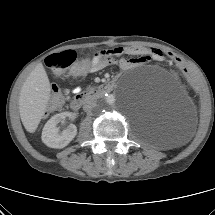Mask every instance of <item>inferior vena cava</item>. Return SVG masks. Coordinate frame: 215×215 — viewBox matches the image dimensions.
<instances>
[{
  "label": "inferior vena cava",
  "mask_w": 215,
  "mask_h": 215,
  "mask_svg": "<svg viewBox=\"0 0 215 215\" xmlns=\"http://www.w3.org/2000/svg\"><path fill=\"white\" fill-rule=\"evenodd\" d=\"M96 105H97V103L95 101H90V102L86 103L83 108L86 112H91V110L93 108H95Z\"/></svg>",
  "instance_id": "obj_1"
}]
</instances>
